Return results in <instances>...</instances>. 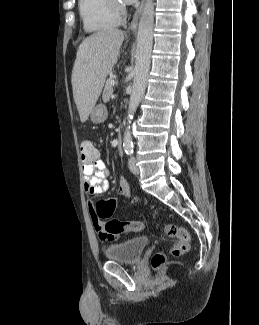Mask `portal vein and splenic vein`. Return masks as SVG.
<instances>
[{
	"label": "portal vein and splenic vein",
	"instance_id": "obj_1",
	"mask_svg": "<svg viewBox=\"0 0 259 325\" xmlns=\"http://www.w3.org/2000/svg\"><path fill=\"white\" fill-rule=\"evenodd\" d=\"M116 84V81L115 80H112L111 81V85H115Z\"/></svg>",
	"mask_w": 259,
	"mask_h": 325
}]
</instances>
